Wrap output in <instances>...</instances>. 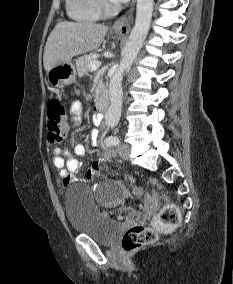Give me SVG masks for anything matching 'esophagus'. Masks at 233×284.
<instances>
[{"mask_svg": "<svg viewBox=\"0 0 233 284\" xmlns=\"http://www.w3.org/2000/svg\"><path fill=\"white\" fill-rule=\"evenodd\" d=\"M136 0H132L130 8L121 15L113 24L112 30L120 34H127L131 29L133 21L134 6Z\"/></svg>", "mask_w": 233, "mask_h": 284, "instance_id": "esophagus-1", "label": "esophagus"}]
</instances>
